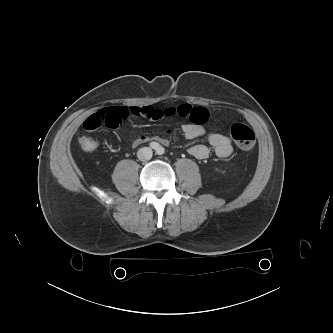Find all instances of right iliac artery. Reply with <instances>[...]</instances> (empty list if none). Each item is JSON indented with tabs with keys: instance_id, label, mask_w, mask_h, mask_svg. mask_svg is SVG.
I'll return each mask as SVG.
<instances>
[{
	"instance_id": "82829eb1",
	"label": "right iliac artery",
	"mask_w": 333,
	"mask_h": 333,
	"mask_svg": "<svg viewBox=\"0 0 333 333\" xmlns=\"http://www.w3.org/2000/svg\"><path fill=\"white\" fill-rule=\"evenodd\" d=\"M149 146L152 148V149H155L157 150L159 148V144L157 142H151L149 144Z\"/></svg>"
}]
</instances>
